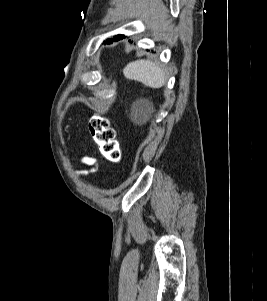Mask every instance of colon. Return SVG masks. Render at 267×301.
<instances>
[{
	"instance_id": "5ec220e1",
	"label": "colon",
	"mask_w": 267,
	"mask_h": 301,
	"mask_svg": "<svg viewBox=\"0 0 267 301\" xmlns=\"http://www.w3.org/2000/svg\"><path fill=\"white\" fill-rule=\"evenodd\" d=\"M88 128L100 153L111 162H119L122 157L121 147L109 120L101 115H93Z\"/></svg>"
}]
</instances>
